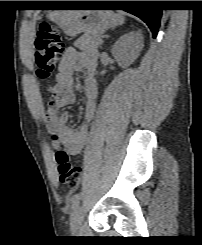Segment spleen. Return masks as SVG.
<instances>
[{
	"label": "spleen",
	"mask_w": 202,
	"mask_h": 245,
	"mask_svg": "<svg viewBox=\"0 0 202 245\" xmlns=\"http://www.w3.org/2000/svg\"><path fill=\"white\" fill-rule=\"evenodd\" d=\"M117 17H118L119 24L122 25L124 23V17L122 16L121 13H118Z\"/></svg>",
	"instance_id": "1"
}]
</instances>
